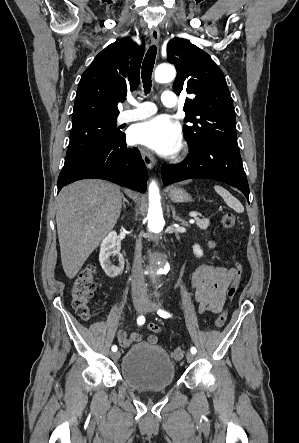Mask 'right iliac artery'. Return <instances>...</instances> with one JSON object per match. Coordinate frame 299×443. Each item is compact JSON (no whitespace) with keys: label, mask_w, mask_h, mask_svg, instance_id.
Instances as JSON below:
<instances>
[{"label":"right iliac artery","mask_w":299,"mask_h":443,"mask_svg":"<svg viewBox=\"0 0 299 443\" xmlns=\"http://www.w3.org/2000/svg\"><path fill=\"white\" fill-rule=\"evenodd\" d=\"M144 323H145V317L143 315H140L137 318V324L138 325H143ZM112 351L113 352L117 351V346L116 345L112 346Z\"/></svg>","instance_id":"right-iliac-artery-1"}]
</instances>
